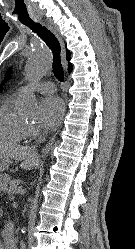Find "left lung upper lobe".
I'll return each mask as SVG.
<instances>
[{
	"instance_id": "left-lung-upper-lobe-1",
	"label": "left lung upper lobe",
	"mask_w": 135,
	"mask_h": 249,
	"mask_svg": "<svg viewBox=\"0 0 135 249\" xmlns=\"http://www.w3.org/2000/svg\"><path fill=\"white\" fill-rule=\"evenodd\" d=\"M10 75V70L7 72L6 76H5V80L9 77ZM2 87H0V91H1Z\"/></svg>"
}]
</instances>
